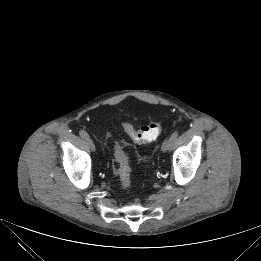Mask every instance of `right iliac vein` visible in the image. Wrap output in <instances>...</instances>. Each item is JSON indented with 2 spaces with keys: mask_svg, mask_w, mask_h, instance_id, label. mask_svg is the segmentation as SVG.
I'll return each mask as SVG.
<instances>
[{
  "mask_svg": "<svg viewBox=\"0 0 261 261\" xmlns=\"http://www.w3.org/2000/svg\"><path fill=\"white\" fill-rule=\"evenodd\" d=\"M85 142H86L88 149L91 150L92 152H94L95 151V145H94L93 140L91 138H87V139H85Z\"/></svg>",
  "mask_w": 261,
  "mask_h": 261,
  "instance_id": "63e3f726",
  "label": "right iliac vein"
}]
</instances>
